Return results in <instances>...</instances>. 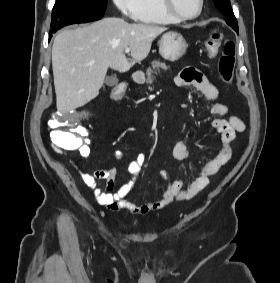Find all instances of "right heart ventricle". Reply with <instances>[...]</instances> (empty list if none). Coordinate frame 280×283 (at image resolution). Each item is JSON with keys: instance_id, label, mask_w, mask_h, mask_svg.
I'll list each match as a JSON object with an SVG mask.
<instances>
[{"instance_id": "1", "label": "right heart ventricle", "mask_w": 280, "mask_h": 283, "mask_svg": "<svg viewBox=\"0 0 280 283\" xmlns=\"http://www.w3.org/2000/svg\"><path fill=\"white\" fill-rule=\"evenodd\" d=\"M134 19L139 23L150 25L176 24L179 22L166 13L161 0H139V8Z\"/></svg>"}]
</instances>
